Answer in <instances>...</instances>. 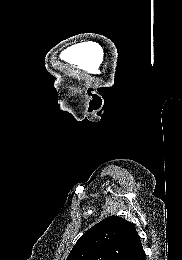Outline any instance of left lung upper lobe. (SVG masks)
I'll list each match as a JSON object with an SVG mask.
<instances>
[{
  "label": "left lung upper lobe",
  "instance_id": "left-lung-upper-lobe-1",
  "mask_svg": "<svg viewBox=\"0 0 182 260\" xmlns=\"http://www.w3.org/2000/svg\"><path fill=\"white\" fill-rule=\"evenodd\" d=\"M138 237L133 223L109 216L81 236L66 260H122Z\"/></svg>",
  "mask_w": 182,
  "mask_h": 260
}]
</instances>
